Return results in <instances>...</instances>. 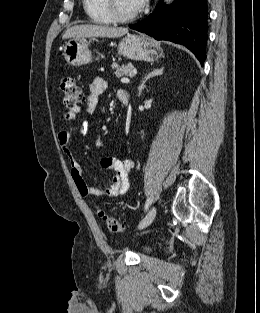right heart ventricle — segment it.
Masks as SVG:
<instances>
[{"mask_svg":"<svg viewBox=\"0 0 260 313\" xmlns=\"http://www.w3.org/2000/svg\"><path fill=\"white\" fill-rule=\"evenodd\" d=\"M83 8L90 20L97 24L112 23L106 8L105 0H82Z\"/></svg>","mask_w":260,"mask_h":313,"instance_id":"right-heart-ventricle-1","label":"right heart ventricle"}]
</instances>
